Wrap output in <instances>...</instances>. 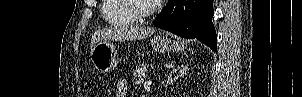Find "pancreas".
<instances>
[{"instance_id":"1","label":"pancreas","mask_w":302,"mask_h":97,"mask_svg":"<svg viewBox=\"0 0 302 97\" xmlns=\"http://www.w3.org/2000/svg\"><path fill=\"white\" fill-rule=\"evenodd\" d=\"M147 66L142 64L137 66L133 71V76L138 82H142L146 78Z\"/></svg>"}]
</instances>
